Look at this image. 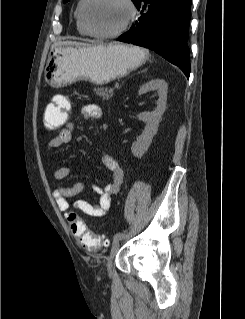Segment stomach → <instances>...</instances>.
Segmentation results:
<instances>
[{"instance_id":"stomach-1","label":"stomach","mask_w":245,"mask_h":319,"mask_svg":"<svg viewBox=\"0 0 245 319\" xmlns=\"http://www.w3.org/2000/svg\"><path fill=\"white\" fill-rule=\"evenodd\" d=\"M147 52L121 43L58 46L49 55L45 81L59 88L80 80L105 84L145 63Z\"/></svg>"}]
</instances>
